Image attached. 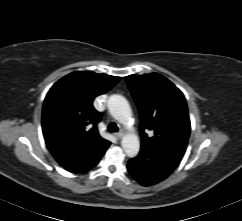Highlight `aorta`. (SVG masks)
Here are the masks:
<instances>
[{"mask_svg":"<svg viewBox=\"0 0 242 221\" xmlns=\"http://www.w3.org/2000/svg\"><path fill=\"white\" fill-rule=\"evenodd\" d=\"M110 114L123 125H128L132 111L126 98L121 95H112L108 99ZM122 148L128 157H135L140 150V142L136 134L127 133L121 141Z\"/></svg>","mask_w":242,"mask_h":221,"instance_id":"1","label":"aorta"}]
</instances>
